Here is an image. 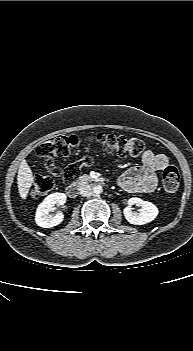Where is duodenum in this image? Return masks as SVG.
I'll return each instance as SVG.
<instances>
[{
  "label": "duodenum",
  "mask_w": 193,
  "mask_h": 351,
  "mask_svg": "<svg viewBox=\"0 0 193 351\" xmlns=\"http://www.w3.org/2000/svg\"><path fill=\"white\" fill-rule=\"evenodd\" d=\"M87 182H91V183H104L105 180L103 178L97 177V176H93V177H87V178H83L79 183H74L69 185L66 188V193L70 198H75L78 193H79V188L80 186H82L83 184L87 183Z\"/></svg>",
  "instance_id": "obj_1"
}]
</instances>
